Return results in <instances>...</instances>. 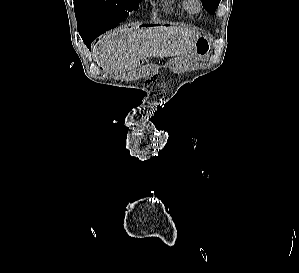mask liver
Masks as SVG:
<instances>
[{"instance_id":"1","label":"liver","mask_w":299,"mask_h":273,"mask_svg":"<svg viewBox=\"0 0 299 273\" xmlns=\"http://www.w3.org/2000/svg\"><path fill=\"white\" fill-rule=\"evenodd\" d=\"M198 34L187 26L124 27L109 32L96 44L99 66L113 71H132L142 59L194 54Z\"/></svg>"}]
</instances>
